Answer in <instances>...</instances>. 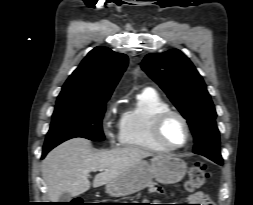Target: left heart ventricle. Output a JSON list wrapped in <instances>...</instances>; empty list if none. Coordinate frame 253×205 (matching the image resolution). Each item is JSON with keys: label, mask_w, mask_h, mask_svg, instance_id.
<instances>
[{"label": "left heart ventricle", "mask_w": 253, "mask_h": 205, "mask_svg": "<svg viewBox=\"0 0 253 205\" xmlns=\"http://www.w3.org/2000/svg\"><path fill=\"white\" fill-rule=\"evenodd\" d=\"M163 136L170 144H182L186 138V132L182 122L177 118H171L164 126Z\"/></svg>", "instance_id": "b2bd125f"}]
</instances>
